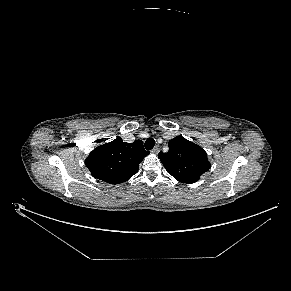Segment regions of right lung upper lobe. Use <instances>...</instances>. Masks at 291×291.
<instances>
[{
	"instance_id": "right-lung-upper-lobe-1",
	"label": "right lung upper lobe",
	"mask_w": 291,
	"mask_h": 291,
	"mask_svg": "<svg viewBox=\"0 0 291 291\" xmlns=\"http://www.w3.org/2000/svg\"><path fill=\"white\" fill-rule=\"evenodd\" d=\"M149 154L143 142H123L120 137L94 149L85 160L93 177L109 184H119L137 173L139 163Z\"/></svg>"
}]
</instances>
